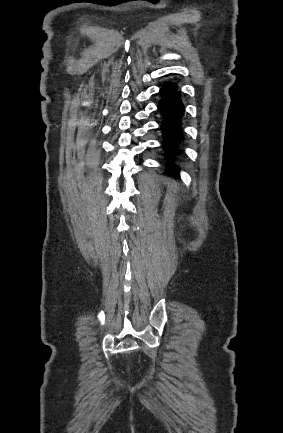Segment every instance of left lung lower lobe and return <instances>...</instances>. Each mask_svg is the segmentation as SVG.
Segmentation results:
<instances>
[{
    "instance_id": "0a47b994",
    "label": "left lung lower lobe",
    "mask_w": 283,
    "mask_h": 433,
    "mask_svg": "<svg viewBox=\"0 0 283 433\" xmlns=\"http://www.w3.org/2000/svg\"><path fill=\"white\" fill-rule=\"evenodd\" d=\"M162 98L158 108L163 116L161 130L163 133V148L167 155L177 156V146L182 140L181 117L184 113V107L180 100V92L177 86L172 83H166L161 90ZM179 168L169 163L167 174L177 176Z\"/></svg>"
}]
</instances>
